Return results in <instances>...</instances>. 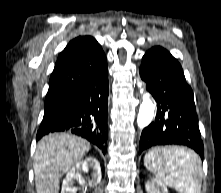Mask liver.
I'll return each instance as SVG.
<instances>
[{"instance_id": "1", "label": "liver", "mask_w": 221, "mask_h": 193, "mask_svg": "<svg viewBox=\"0 0 221 193\" xmlns=\"http://www.w3.org/2000/svg\"><path fill=\"white\" fill-rule=\"evenodd\" d=\"M88 141L69 133H54L39 140L34 156L37 193H59L60 178L90 150Z\"/></svg>"}]
</instances>
